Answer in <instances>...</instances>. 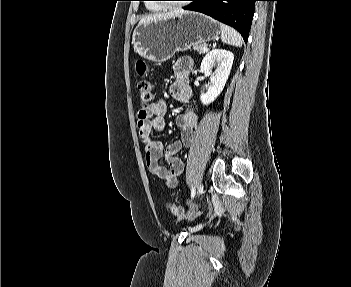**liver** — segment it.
Here are the masks:
<instances>
[{
    "mask_svg": "<svg viewBox=\"0 0 351 287\" xmlns=\"http://www.w3.org/2000/svg\"><path fill=\"white\" fill-rule=\"evenodd\" d=\"M187 13H189V12L184 11L182 9H178V10H175L173 12L148 15V16L143 17L139 23L149 22V21H153V20H157V19H166V18H170L173 16H179V15H183V14H187Z\"/></svg>",
    "mask_w": 351,
    "mask_h": 287,
    "instance_id": "obj_1",
    "label": "liver"
}]
</instances>
